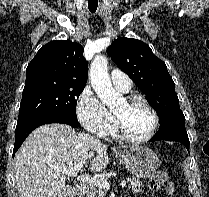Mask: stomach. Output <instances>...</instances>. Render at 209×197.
Instances as JSON below:
<instances>
[{"mask_svg":"<svg viewBox=\"0 0 209 197\" xmlns=\"http://www.w3.org/2000/svg\"><path fill=\"white\" fill-rule=\"evenodd\" d=\"M117 156L125 167L139 178H150L160 166L157 155L144 146H132Z\"/></svg>","mask_w":209,"mask_h":197,"instance_id":"1","label":"stomach"}]
</instances>
